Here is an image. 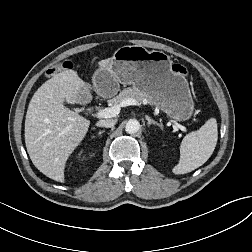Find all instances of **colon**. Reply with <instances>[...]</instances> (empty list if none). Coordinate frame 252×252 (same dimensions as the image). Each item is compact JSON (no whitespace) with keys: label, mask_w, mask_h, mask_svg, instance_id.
<instances>
[{"label":"colon","mask_w":252,"mask_h":252,"mask_svg":"<svg viewBox=\"0 0 252 252\" xmlns=\"http://www.w3.org/2000/svg\"><path fill=\"white\" fill-rule=\"evenodd\" d=\"M70 67H71V64L69 62H64L62 64L54 66L51 70H49V74L54 75V74L58 73L60 70L65 69V68H70ZM173 70L177 73H180V74L186 73V69L179 64H175L173 66Z\"/></svg>","instance_id":"colon-1"}]
</instances>
